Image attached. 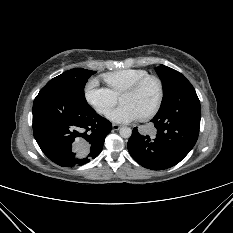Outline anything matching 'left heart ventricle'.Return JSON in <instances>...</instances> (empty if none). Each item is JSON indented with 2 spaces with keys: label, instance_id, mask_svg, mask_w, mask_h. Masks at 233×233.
Returning a JSON list of instances; mask_svg holds the SVG:
<instances>
[{
  "label": "left heart ventricle",
  "instance_id": "b2bd125f",
  "mask_svg": "<svg viewBox=\"0 0 233 233\" xmlns=\"http://www.w3.org/2000/svg\"><path fill=\"white\" fill-rule=\"evenodd\" d=\"M158 96V84L156 81L150 80L139 91L122 94L120 96V102L122 104L132 105L141 117L154 107Z\"/></svg>",
  "mask_w": 233,
  "mask_h": 233
}]
</instances>
